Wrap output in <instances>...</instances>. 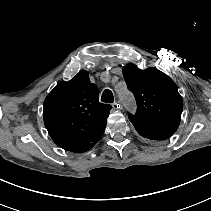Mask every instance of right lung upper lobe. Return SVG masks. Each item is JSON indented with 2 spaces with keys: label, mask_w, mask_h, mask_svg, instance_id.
I'll list each match as a JSON object with an SVG mask.
<instances>
[{
  "label": "right lung upper lobe",
  "mask_w": 211,
  "mask_h": 211,
  "mask_svg": "<svg viewBox=\"0 0 211 211\" xmlns=\"http://www.w3.org/2000/svg\"><path fill=\"white\" fill-rule=\"evenodd\" d=\"M43 118L52 140L66 151L93 146L102 137L110 109L99 102V91L87 71L60 82L44 101Z\"/></svg>",
  "instance_id": "cb5924a9"
}]
</instances>
